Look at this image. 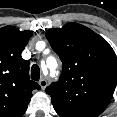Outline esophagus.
I'll return each mask as SVG.
<instances>
[{
	"label": "esophagus",
	"instance_id": "obj_1",
	"mask_svg": "<svg viewBox=\"0 0 117 117\" xmlns=\"http://www.w3.org/2000/svg\"><path fill=\"white\" fill-rule=\"evenodd\" d=\"M48 82L46 78H41L39 81V85L41 87L42 90H44L47 86Z\"/></svg>",
	"mask_w": 117,
	"mask_h": 117
}]
</instances>
